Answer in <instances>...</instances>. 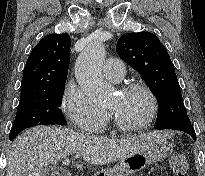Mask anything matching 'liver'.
I'll list each match as a JSON object with an SVG mask.
<instances>
[{"mask_svg": "<svg viewBox=\"0 0 205 176\" xmlns=\"http://www.w3.org/2000/svg\"><path fill=\"white\" fill-rule=\"evenodd\" d=\"M167 136L151 132L131 139H108L75 132L64 127L38 126L20 134L7 156L6 176H41L49 164H58L77 153L93 165L109 164L144 151Z\"/></svg>", "mask_w": 205, "mask_h": 176, "instance_id": "obj_1", "label": "liver"}]
</instances>
